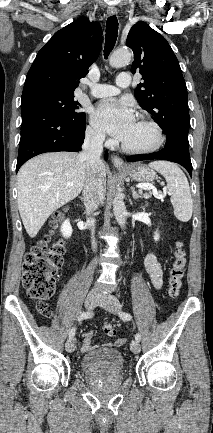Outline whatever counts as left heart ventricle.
Here are the masks:
<instances>
[{
	"label": "left heart ventricle",
	"instance_id": "obj_1",
	"mask_svg": "<svg viewBox=\"0 0 213 433\" xmlns=\"http://www.w3.org/2000/svg\"><path fill=\"white\" fill-rule=\"evenodd\" d=\"M154 140L153 130L142 122L136 121L122 142L131 148H144L150 146Z\"/></svg>",
	"mask_w": 213,
	"mask_h": 433
}]
</instances>
